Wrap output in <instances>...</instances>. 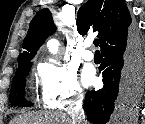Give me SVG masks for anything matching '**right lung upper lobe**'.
I'll return each instance as SVG.
<instances>
[{"label":"right lung upper lobe","instance_id":"cb5924a9","mask_svg":"<svg viewBox=\"0 0 145 124\" xmlns=\"http://www.w3.org/2000/svg\"><path fill=\"white\" fill-rule=\"evenodd\" d=\"M131 24L125 0H89L82 5L77 15V28L81 35L98 31L101 45L111 37L122 33ZM55 31L51 13L41 9L30 23L22 47L25 49L17 59L19 66L29 64L44 40ZM16 70V71H17Z\"/></svg>","mask_w":145,"mask_h":124}]
</instances>
